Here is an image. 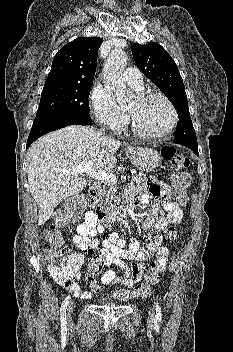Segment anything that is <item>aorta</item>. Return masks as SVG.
I'll list each match as a JSON object with an SVG mask.
<instances>
[{"label":"aorta","instance_id":"762f6f07","mask_svg":"<svg viewBox=\"0 0 233 352\" xmlns=\"http://www.w3.org/2000/svg\"><path fill=\"white\" fill-rule=\"evenodd\" d=\"M126 63V53L121 49H115L109 54L103 68V83L105 88L122 105L128 103L133 97L132 92L123 83L122 71Z\"/></svg>","mask_w":233,"mask_h":352}]
</instances>
